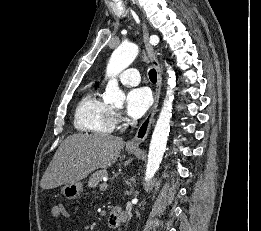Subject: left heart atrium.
<instances>
[{
	"instance_id": "obj_1",
	"label": "left heart atrium",
	"mask_w": 261,
	"mask_h": 231,
	"mask_svg": "<svg viewBox=\"0 0 261 231\" xmlns=\"http://www.w3.org/2000/svg\"><path fill=\"white\" fill-rule=\"evenodd\" d=\"M152 104L150 91L145 87L131 89L126 95V113L134 119L142 117Z\"/></svg>"
}]
</instances>
